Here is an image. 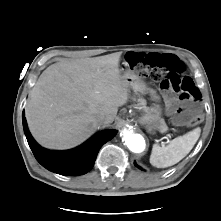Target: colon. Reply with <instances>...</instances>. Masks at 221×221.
<instances>
[{"instance_id": "1", "label": "colon", "mask_w": 221, "mask_h": 221, "mask_svg": "<svg viewBox=\"0 0 221 221\" xmlns=\"http://www.w3.org/2000/svg\"><path fill=\"white\" fill-rule=\"evenodd\" d=\"M128 61L139 75L159 82L163 90L178 94L182 103L177 117L190 125L201 122L199 111L193 106L199 100V91L193 80L186 74L184 63L176 56L151 52L141 62L134 52L128 54ZM147 67V68H146Z\"/></svg>"}]
</instances>
